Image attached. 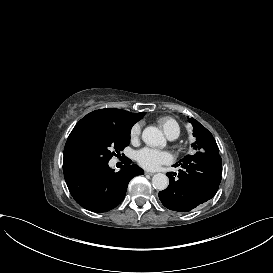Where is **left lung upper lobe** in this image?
<instances>
[{"instance_id": "5c2ea615", "label": "left lung upper lobe", "mask_w": 273, "mask_h": 273, "mask_svg": "<svg viewBox=\"0 0 273 273\" xmlns=\"http://www.w3.org/2000/svg\"><path fill=\"white\" fill-rule=\"evenodd\" d=\"M189 122L193 125V135L196 137V142L192 144L196 152L219 153L213 135L194 118L189 119Z\"/></svg>"}]
</instances>
